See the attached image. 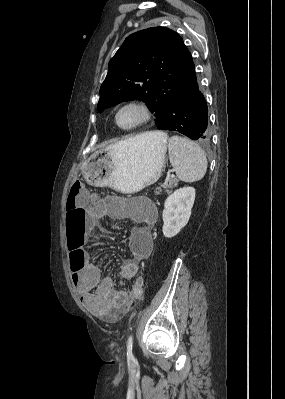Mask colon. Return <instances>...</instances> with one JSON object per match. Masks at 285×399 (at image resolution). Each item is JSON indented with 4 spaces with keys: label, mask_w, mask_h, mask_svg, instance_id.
Segmentation results:
<instances>
[{
    "label": "colon",
    "mask_w": 285,
    "mask_h": 399,
    "mask_svg": "<svg viewBox=\"0 0 285 399\" xmlns=\"http://www.w3.org/2000/svg\"><path fill=\"white\" fill-rule=\"evenodd\" d=\"M85 190V186L81 181H75L72 185L71 196L68 199L66 209L68 211V220L71 225L78 224L84 221L87 217L85 211L75 202V196L79 195ZM159 192V190H157ZM68 248L71 252V269L79 271L83 268L85 263L84 248L78 242L76 236L72 232L67 233ZM135 295L139 296L143 292V283L141 279H137L136 285L133 289ZM128 308H126L127 310Z\"/></svg>",
    "instance_id": "colon-1"
}]
</instances>
